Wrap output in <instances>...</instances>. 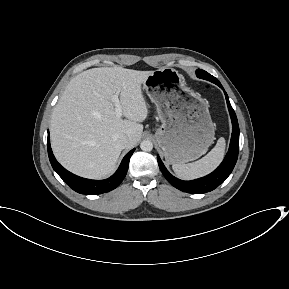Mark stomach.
I'll use <instances>...</instances> for the list:
<instances>
[{"instance_id":"0dacf381","label":"stomach","mask_w":289,"mask_h":289,"mask_svg":"<svg viewBox=\"0 0 289 289\" xmlns=\"http://www.w3.org/2000/svg\"><path fill=\"white\" fill-rule=\"evenodd\" d=\"M162 122L156 140L169 164L201 157L213 143L215 128L208 103L186 86L184 77L170 67L155 70L143 82Z\"/></svg>"}]
</instances>
